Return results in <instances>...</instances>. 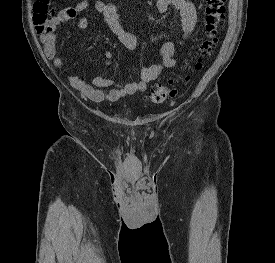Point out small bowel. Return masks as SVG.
<instances>
[{
  "mask_svg": "<svg viewBox=\"0 0 275 263\" xmlns=\"http://www.w3.org/2000/svg\"><path fill=\"white\" fill-rule=\"evenodd\" d=\"M176 9L182 22V37L176 43L171 38L163 40L160 47L161 62L144 66L140 69L139 80L127 83L123 86L117 85L112 79L102 75H96L89 83L75 75L67 72L62 59L57 55L56 40L59 26L63 23H72L78 29H85L89 25L88 18L84 15L88 9L96 11L106 23L110 31L118 38L121 44L129 50H136L139 46L136 36L124 29L119 21L118 6L102 0H82L74 6L61 10L50 22L48 30L41 36L44 52L48 59L52 60L55 68L60 71L66 81L74 89L78 90L85 98L95 102H115L121 98L141 94L146 91L147 84L156 80L164 69L176 67L174 58L177 46H182L192 35L196 22L197 11L195 5L189 0H157L156 11L165 14L169 9ZM113 54L109 51L104 53V64L110 66Z\"/></svg>",
  "mask_w": 275,
  "mask_h": 263,
  "instance_id": "obj_1",
  "label": "small bowel"
}]
</instances>
